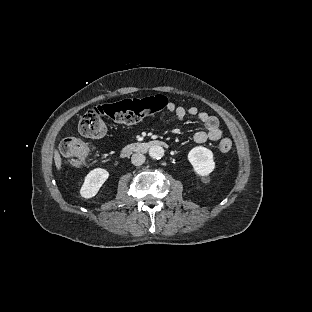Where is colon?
Here are the masks:
<instances>
[{
  "mask_svg": "<svg viewBox=\"0 0 312 312\" xmlns=\"http://www.w3.org/2000/svg\"><path fill=\"white\" fill-rule=\"evenodd\" d=\"M167 104V97L156 95L94 107L81 116L77 125V132L82 138L73 136L66 138L62 142L61 151L73 165L82 166L90 152L87 139L104 137L108 132L110 122L117 125L134 124L155 115ZM232 147L233 143L229 138L223 139L218 145L222 153L231 151Z\"/></svg>",
  "mask_w": 312,
  "mask_h": 312,
  "instance_id": "colon-1",
  "label": "colon"
}]
</instances>
